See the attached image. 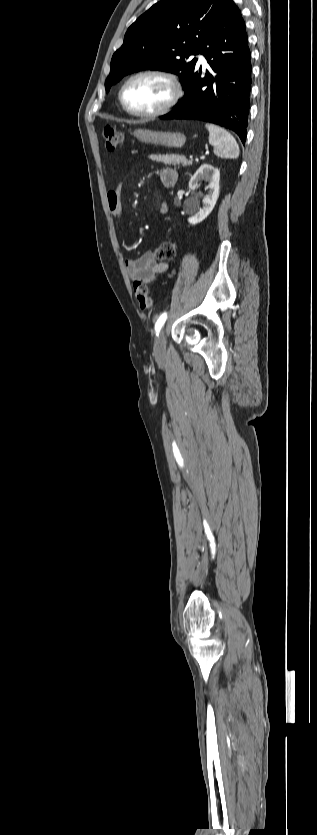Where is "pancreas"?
<instances>
[{
	"label": "pancreas",
	"instance_id": "1",
	"mask_svg": "<svg viewBox=\"0 0 317 835\" xmlns=\"http://www.w3.org/2000/svg\"><path fill=\"white\" fill-rule=\"evenodd\" d=\"M149 158L156 162H162L164 164H170L174 166L176 164H182L183 166L192 165V160H187V158L184 155L180 154H152L149 156Z\"/></svg>",
	"mask_w": 317,
	"mask_h": 835
}]
</instances>
